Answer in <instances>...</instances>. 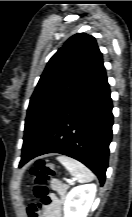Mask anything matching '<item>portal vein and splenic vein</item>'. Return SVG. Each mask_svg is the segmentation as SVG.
<instances>
[{
  "mask_svg": "<svg viewBox=\"0 0 132 217\" xmlns=\"http://www.w3.org/2000/svg\"><path fill=\"white\" fill-rule=\"evenodd\" d=\"M65 181L68 182V183L71 182V180H70V179H67V178H65Z\"/></svg>",
  "mask_w": 132,
  "mask_h": 217,
  "instance_id": "18ae733b",
  "label": "portal vein and splenic vein"
}]
</instances>
